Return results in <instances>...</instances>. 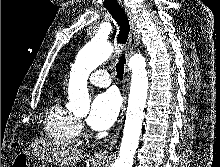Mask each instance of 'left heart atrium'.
<instances>
[{
    "mask_svg": "<svg viewBox=\"0 0 220 167\" xmlns=\"http://www.w3.org/2000/svg\"><path fill=\"white\" fill-rule=\"evenodd\" d=\"M120 107V96L114 90L99 94L92 103L88 124L98 131L108 129L116 121Z\"/></svg>",
    "mask_w": 220,
    "mask_h": 167,
    "instance_id": "1",
    "label": "left heart atrium"
}]
</instances>
